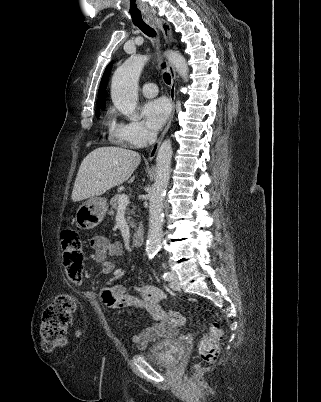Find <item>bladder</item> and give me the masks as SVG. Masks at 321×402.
I'll list each match as a JSON object with an SVG mask.
<instances>
[{
  "label": "bladder",
  "mask_w": 321,
  "mask_h": 402,
  "mask_svg": "<svg viewBox=\"0 0 321 402\" xmlns=\"http://www.w3.org/2000/svg\"><path fill=\"white\" fill-rule=\"evenodd\" d=\"M178 338V335H173L171 339L160 341L148 350L140 353V356L148 360L157 361L164 366H173L179 360V353L175 345Z\"/></svg>",
  "instance_id": "bladder-1"
}]
</instances>
